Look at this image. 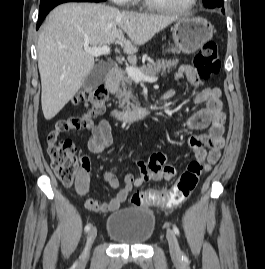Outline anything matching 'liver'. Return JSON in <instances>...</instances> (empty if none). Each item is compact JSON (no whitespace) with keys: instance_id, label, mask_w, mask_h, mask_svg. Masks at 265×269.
Returning <instances> with one entry per match:
<instances>
[{"instance_id":"liver-1","label":"liver","mask_w":265,"mask_h":269,"mask_svg":"<svg viewBox=\"0 0 265 269\" xmlns=\"http://www.w3.org/2000/svg\"><path fill=\"white\" fill-rule=\"evenodd\" d=\"M176 19L94 3H65L53 9L38 38L45 119L60 112L94 68V57L84 50L85 46L101 47L119 41L124 53L134 54Z\"/></svg>"}]
</instances>
